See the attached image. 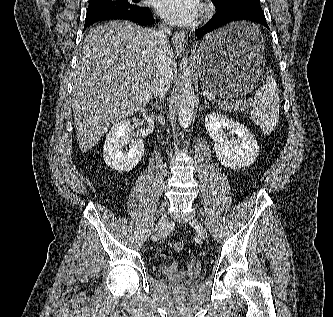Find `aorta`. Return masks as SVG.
I'll return each mask as SVG.
<instances>
[{"label":"aorta","instance_id":"762f6f07","mask_svg":"<svg viewBox=\"0 0 333 317\" xmlns=\"http://www.w3.org/2000/svg\"><path fill=\"white\" fill-rule=\"evenodd\" d=\"M182 65V89L178 110V122L182 128L187 129L191 125L193 119L196 94L190 79L191 72L190 67L188 66L187 56L182 57Z\"/></svg>","mask_w":333,"mask_h":317}]
</instances>
